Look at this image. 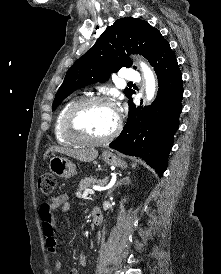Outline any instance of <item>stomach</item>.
I'll use <instances>...</instances> for the list:
<instances>
[{
	"mask_svg": "<svg viewBox=\"0 0 221 274\" xmlns=\"http://www.w3.org/2000/svg\"><path fill=\"white\" fill-rule=\"evenodd\" d=\"M102 159L111 166L126 168V163L110 151H103ZM50 171L59 178L69 179L76 174L75 165L66 157L53 156L49 161Z\"/></svg>",
	"mask_w": 221,
	"mask_h": 274,
	"instance_id": "1",
	"label": "stomach"
}]
</instances>
